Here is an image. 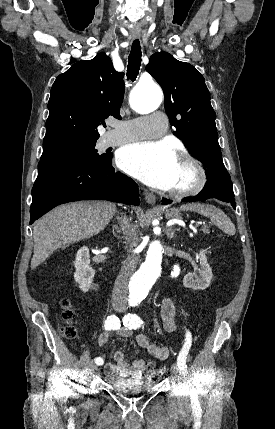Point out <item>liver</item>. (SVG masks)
Listing matches in <instances>:
<instances>
[{
	"instance_id": "1",
	"label": "liver",
	"mask_w": 275,
	"mask_h": 429,
	"mask_svg": "<svg viewBox=\"0 0 275 429\" xmlns=\"http://www.w3.org/2000/svg\"><path fill=\"white\" fill-rule=\"evenodd\" d=\"M115 212V204L99 201L76 202L53 209L34 224L31 268L39 266L55 250L97 235Z\"/></svg>"
}]
</instances>
